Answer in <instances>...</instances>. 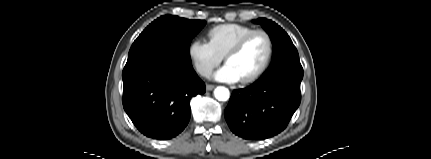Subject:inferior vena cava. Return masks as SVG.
Returning <instances> with one entry per match:
<instances>
[{
    "label": "inferior vena cava",
    "instance_id": "602c4592",
    "mask_svg": "<svg viewBox=\"0 0 431 159\" xmlns=\"http://www.w3.org/2000/svg\"><path fill=\"white\" fill-rule=\"evenodd\" d=\"M199 73L204 76V77H210L211 73H212V69L211 68H203L199 71Z\"/></svg>",
    "mask_w": 431,
    "mask_h": 159
}]
</instances>
